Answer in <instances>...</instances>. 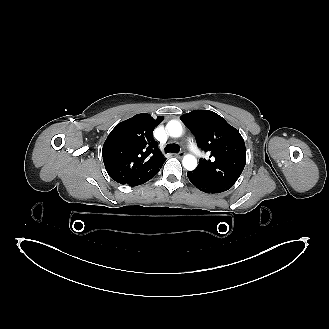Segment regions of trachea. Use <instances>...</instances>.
Instances as JSON below:
<instances>
[{"label":"trachea","instance_id":"trachea-1","mask_svg":"<svg viewBox=\"0 0 329 329\" xmlns=\"http://www.w3.org/2000/svg\"><path fill=\"white\" fill-rule=\"evenodd\" d=\"M180 151L179 146L175 145V144H167V146L165 147V152L166 153H178Z\"/></svg>","mask_w":329,"mask_h":329}]
</instances>
